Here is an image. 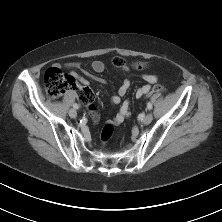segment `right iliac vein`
<instances>
[{
  "label": "right iliac vein",
  "mask_w": 222,
  "mask_h": 222,
  "mask_svg": "<svg viewBox=\"0 0 222 222\" xmlns=\"http://www.w3.org/2000/svg\"><path fill=\"white\" fill-rule=\"evenodd\" d=\"M69 116H70L71 118H76V117H77V112H76V110H75V109H70V111H69Z\"/></svg>",
  "instance_id": "obj_1"
}]
</instances>
